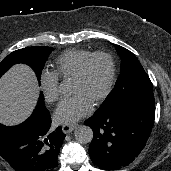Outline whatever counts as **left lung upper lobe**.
Wrapping results in <instances>:
<instances>
[{
	"instance_id": "1",
	"label": "left lung upper lobe",
	"mask_w": 171,
	"mask_h": 171,
	"mask_svg": "<svg viewBox=\"0 0 171 171\" xmlns=\"http://www.w3.org/2000/svg\"><path fill=\"white\" fill-rule=\"evenodd\" d=\"M122 64L115 87L95 112L102 114L131 102L155 103L150 78L136 56L124 47L115 45Z\"/></svg>"
}]
</instances>
